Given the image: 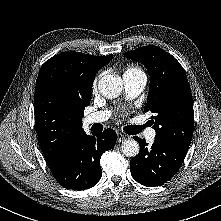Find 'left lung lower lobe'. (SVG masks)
I'll return each instance as SVG.
<instances>
[{"mask_svg": "<svg viewBox=\"0 0 221 221\" xmlns=\"http://www.w3.org/2000/svg\"><path fill=\"white\" fill-rule=\"evenodd\" d=\"M140 145L137 156L130 160L131 175L140 184L155 187L166 183L179 170L187 148L155 139L151 147H147L145 139L133 137Z\"/></svg>", "mask_w": 221, "mask_h": 221, "instance_id": "1", "label": "left lung lower lobe"}]
</instances>
